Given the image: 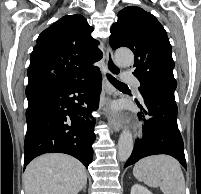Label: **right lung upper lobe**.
Instances as JSON below:
<instances>
[{
  "mask_svg": "<svg viewBox=\"0 0 201 194\" xmlns=\"http://www.w3.org/2000/svg\"><path fill=\"white\" fill-rule=\"evenodd\" d=\"M93 28L82 15H66L38 37L28 68V85H72L85 80L99 68L102 58Z\"/></svg>",
  "mask_w": 201,
  "mask_h": 194,
  "instance_id": "right-lung-upper-lobe-1",
  "label": "right lung upper lobe"
}]
</instances>
